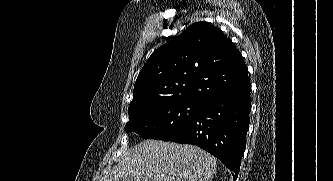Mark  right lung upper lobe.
<instances>
[{"label":"right lung upper lobe","instance_id":"right-lung-upper-lobe-1","mask_svg":"<svg viewBox=\"0 0 333 181\" xmlns=\"http://www.w3.org/2000/svg\"><path fill=\"white\" fill-rule=\"evenodd\" d=\"M249 82L232 41L210 23L197 22L152 53L137 77L128 113L163 101L203 103Z\"/></svg>","mask_w":333,"mask_h":181}]
</instances>
